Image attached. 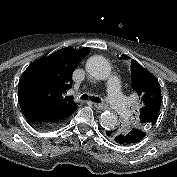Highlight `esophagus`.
<instances>
[{
  "instance_id": "obj_1",
  "label": "esophagus",
  "mask_w": 177,
  "mask_h": 177,
  "mask_svg": "<svg viewBox=\"0 0 177 177\" xmlns=\"http://www.w3.org/2000/svg\"><path fill=\"white\" fill-rule=\"evenodd\" d=\"M94 106L99 110H104L107 108V105L104 103L93 102Z\"/></svg>"
}]
</instances>
